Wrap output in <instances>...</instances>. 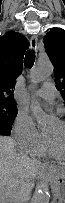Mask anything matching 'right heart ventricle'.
<instances>
[{
	"mask_svg": "<svg viewBox=\"0 0 65 203\" xmlns=\"http://www.w3.org/2000/svg\"><path fill=\"white\" fill-rule=\"evenodd\" d=\"M31 156L34 157H44V156H52L48 150L46 142H44L41 146L30 152Z\"/></svg>",
	"mask_w": 65,
	"mask_h": 203,
	"instance_id": "obj_1",
	"label": "right heart ventricle"
}]
</instances>
